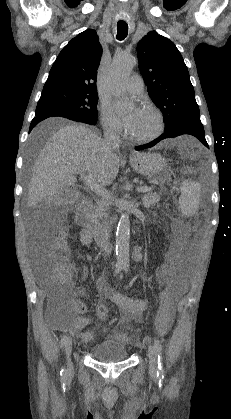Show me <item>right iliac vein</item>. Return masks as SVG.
Segmentation results:
<instances>
[{
	"instance_id": "1",
	"label": "right iliac vein",
	"mask_w": 231,
	"mask_h": 419,
	"mask_svg": "<svg viewBox=\"0 0 231 419\" xmlns=\"http://www.w3.org/2000/svg\"><path fill=\"white\" fill-rule=\"evenodd\" d=\"M71 352H72V338H67V341L65 343V354L67 359V367L69 370L73 368V363L71 360Z\"/></svg>"
}]
</instances>
